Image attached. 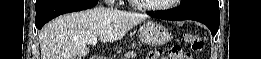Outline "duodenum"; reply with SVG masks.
Wrapping results in <instances>:
<instances>
[{"label":"duodenum","instance_id":"1","mask_svg":"<svg viewBox=\"0 0 261 59\" xmlns=\"http://www.w3.org/2000/svg\"><path fill=\"white\" fill-rule=\"evenodd\" d=\"M90 59H107V57L103 55H93L90 57Z\"/></svg>","mask_w":261,"mask_h":59}]
</instances>
